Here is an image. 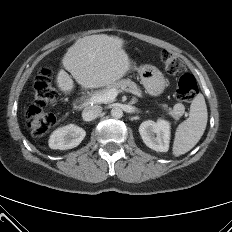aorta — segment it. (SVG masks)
Here are the masks:
<instances>
[{
	"mask_svg": "<svg viewBox=\"0 0 232 232\" xmlns=\"http://www.w3.org/2000/svg\"><path fill=\"white\" fill-rule=\"evenodd\" d=\"M111 116L113 118H116V119H119L123 116V111L118 108V107H114L112 110H111Z\"/></svg>",
	"mask_w": 232,
	"mask_h": 232,
	"instance_id": "obj_1",
	"label": "aorta"
}]
</instances>
